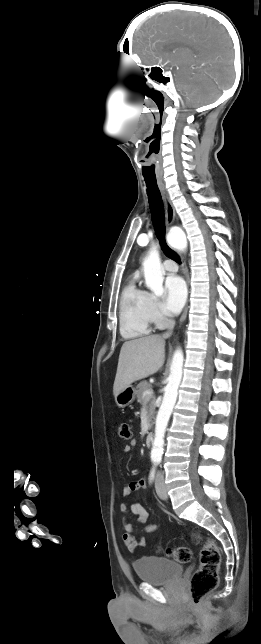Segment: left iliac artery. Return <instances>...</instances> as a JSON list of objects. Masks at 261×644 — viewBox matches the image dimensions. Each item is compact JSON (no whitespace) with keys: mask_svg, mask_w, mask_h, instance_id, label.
Segmentation results:
<instances>
[{"mask_svg":"<svg viewBox=\"0 0 261 644\" xmlns=\"http://www.w3.org/2000/svg\"><path fill=\"white\" fill-rule=\"evenodd\" d=\"M155 461L159 463V462H160V459H157V460H155Z\"/></svg>","mask_w":261,"mask_h":644,"instance_id":"1","label":"left iliac artery"}]
</instances>
